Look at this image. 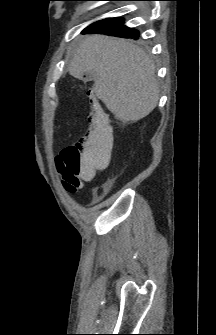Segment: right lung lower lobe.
Segmentation results:
<instances>
[{"label": "right lung lower lobe", "mask_w": 216, "mask_h": 335, "mask_svg": "<svg viewBox=\"0 0 216 335\" xmlns=\"http://www.w3.org/2000/svg\"><path fill=\"white\" fill-rule=\"evenodd\" d=\"M83 33H101L105 35L138 39L139 32L123 24L122 18H108L97 21L83 30Z\"/></svg>", "instance_id": "obj_1"}]
</instances>
